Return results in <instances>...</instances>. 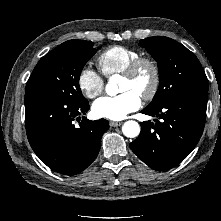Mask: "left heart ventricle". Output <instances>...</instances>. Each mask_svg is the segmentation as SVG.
Here are the masks:
<instances>
[{
  "label": "left heart ventricle",
  "mask_w": 221,
  "mask_h": 221,
  "mask_svg": "<svg viewBox=\"0 0 221 221\" xmlns=\"http://www.w3.org/2000/svg\"><path fill=\"white\" fill-rule=\"evenodd\" d=\"M152 73L150 69L143 68L138 74L137 78L134 80L121 78L119 90L120 92L134 91L141 95L145 92L151 85Z\"/></svg>",
  "instance_id": "b2bd125f"
}]
</instances>
